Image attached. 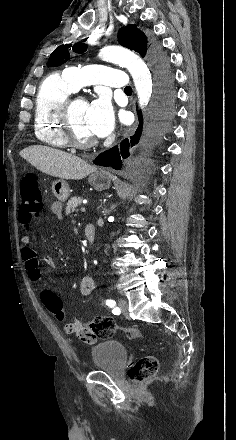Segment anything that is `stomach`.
Wrapping results in <instances>:
<instances>
[{
	"label": "stomach",
	"instance_id": "stomach-1",
	"mask_svg": "<svg viewBox=\"0 0 236 440\" xmlns=\"http://www.w3.org/2000/svg\"><path fill=\"white\" fill-rule=\"evenodd\" d=\"M88 182L97 191H103L110 187V179L108 174L102 169H95L93 172H91ZM52 192L60 202H64L70 195L69 185L63 179L55 180L52 183Z\"/></svg>",
	"mask_w": 236,
	"mask_h": 440
}]
</instances>
